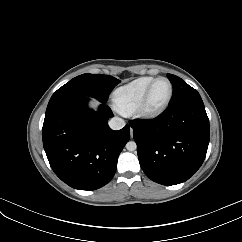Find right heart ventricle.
<instances>
[{
	"mask_svg": "<svg viewBox=\"0 0 242 242\" xmlns=\"http://www.w3.org/2000/svg\"><path fill=\"white\" fill-rule=\"evenodd\" d=\"M154 79L153 77H140L119 87L114 93L117 108L122 113L133 112Z\"/></svg>",
	"mask_w": 242,
	"mask_h": 242,
	"instance_id": "obj_1",
	"label": "right heart ventricle"
}]
</instances>
